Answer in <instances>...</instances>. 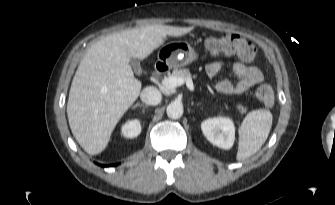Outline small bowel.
Segmentation results:
<instances>
[{
  "mask_svg": "<svg viewBox=\"0 0 335 205\" xmlns=\"http://www.w3.org/2000/svg\"><path fill=\"white\" fill-rule=\"evenodd\" d=\"M224 63L216 61L206 66V73L210 77L217 76L223 69ZM233 74L238 78L234 84L224 78L216 83L215 89L223 94H242L263 81V73L256 66H246L243 62L237 61L232 66Z\"/></svg>",
  "mask_w": 335,
  "mask_h": 205,
  "instance_id": "1",
  "label": "small bowel"
}]
</instances>
